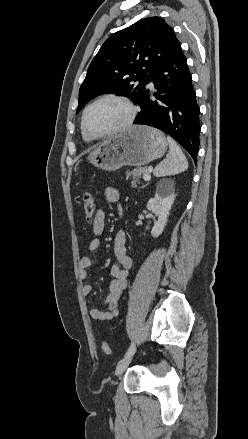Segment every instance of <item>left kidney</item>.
I'll return each instance as SVG.
<instances>
[{"instance_id": "left-kidney-1", "label": "left kidney", "mask_w": 248, "mask_h": 439, "mask_svg": "<svg viewBox=\"0 0 248 439\" xmlns=\"http://www.w3.org/2000/svg\"><path fill=\"white\" fill-rule=\"evenodd\" d=\"M175 197L173 186L164 187L163 182L157 184L155 196L148 201L146 206L158 218L151 230L152 237L156 238L162 234Z\"/></svg>"}]
</instances>
